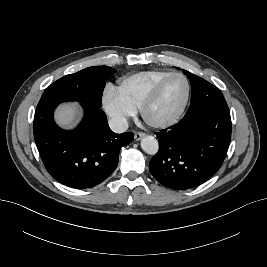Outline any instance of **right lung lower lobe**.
<instances>
[{
    "label": "right lung lower lobe",
    "instance_id": "98d812e1",
    "mask_svg": "<svg viewBox=\"0 0 267 267\" xmlns=\"http://www.w3.org/2000/svg\"><path fill=\"white\" fill-rule=\"evenodd\" d=\"M71 99L42 95L34 117V138L49 174L75 189L96 186L116 168L121 147L134 137L132 132L116 134L108 126L105 113L82 103L84 118L72 131L59 128L53 120L58 104Z\"/></svg>",
    "mask_w": 267,
    "mask_h": 267
}]
</instances>
